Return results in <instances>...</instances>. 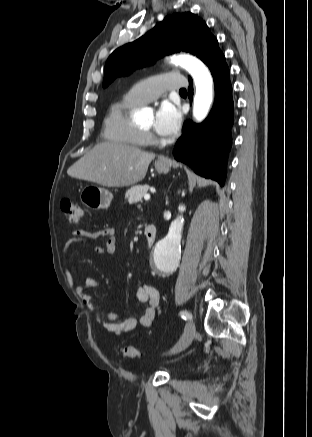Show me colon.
I'll list each match as a JSON object with an SVG mask.
<instances>
[{
  "label": "colon",
  "instance_id": "5ec220e1",
  "mask_svg": "<svg viewBox=\"0 0 312 437\" xmlns=\"http://www.w3.org/2000/svg\"><path fill=\"white\" fill-rule=\"evenodd\" d=\"M62 211L66 217V220L70 224H78L83 218V208L76 202L65 199L61 202ZM123 354L126 357H138L141 355V351L134 345H125L123 348Z\"/></svg>",
  "mask_w": 312,
  "mask_h": 437
}]
</instances>
